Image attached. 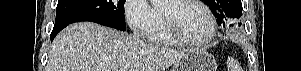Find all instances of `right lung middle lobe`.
Segmentation results:
<instances>
[{
    "label": "right lung middle lobe",
    "instance_id": "right-lung-middle-lobe-1",
    "mask_svg": "<svg viewBox=\"0 0 301 71\" xmlns=\"http://www.w3.org/2000/svg\"><path fill=\"white\" fill-rule=\"evenodd\" d=\"M124 3L125 0H58L55 24L94 16L125 30Z\"/></svg>",
    "mask_w": 301,
    "mask_h": 71
}]
</instances>
